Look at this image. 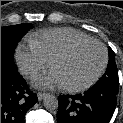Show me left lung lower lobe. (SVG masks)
Returning a JSON list of instances; mask_svg holds the SVG:
<instances>
[{
    "label": "left lung lower lobe",
    "mask_w": 123,
    "mask_h": 123,
    "mask_svg": "<svg viewBox=\"0 0 123 123\" xmlns=\"http://www.w3.org/2000/svg\"><path fill=\"white\" fill-rule=\"evenodd\" d=\"M118 88L93 86L83 94L61 95L57 123H109Z\"/></svg>",
    "instance_id": "0a47b994"
}]
</instances>
